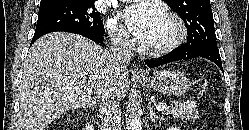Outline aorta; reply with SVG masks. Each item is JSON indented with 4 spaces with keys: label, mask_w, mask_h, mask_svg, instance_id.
Listing matches in <instances>:
<instances>
[{
    "label": "aorta",
    "mask_w": 249,
    "mask_h": 130,
    "mask_svg": "<svg viewBox=\"0 0 249 130\" xmlns=\"http://www.w3.org/2000/svg\"><path fill=\"white\" fill-rule=\"evenodd\" d=\"M128 130H142V120L135 116L129 123Z\"/></svg>",
    "instance_id": "obj_1"
}]
</instances>
